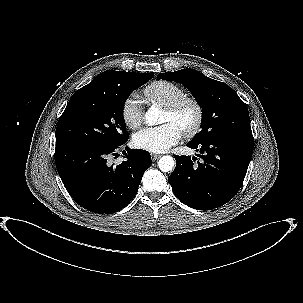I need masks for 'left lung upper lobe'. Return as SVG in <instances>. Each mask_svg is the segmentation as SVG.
Returning a JSON list of instances; mask_svg holds the SVG:
<instances>
[{
  "label": "left lung upper lobe",
  "instance_id": "5c2ea615",
  "mask_svg": "<svg viewBox=\"0 0 303 303\" xmlns=\"http://www.w3.org/2000/svg\"><path fill=\"white\" fill-rule=\"evenodd\" d=\"M157 79L183 84L202 107V129L191 143L199 144L226 136L253 137L247 106L227 84L194 69L160 73Z\"/></svg>",
  "mask_w": 303,
  "mask_h": 303
}]
</instances>
